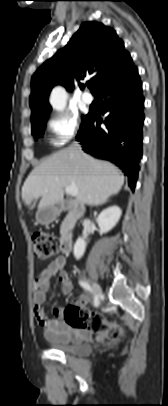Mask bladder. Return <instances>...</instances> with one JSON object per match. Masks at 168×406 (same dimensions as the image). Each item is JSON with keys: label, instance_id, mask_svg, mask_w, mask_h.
<instances>
[{"label": "bladder", "instance_id": "1", "mask_svg": "<svg viewBox=\"0 0 168 406\" xmlns=\"http://www.w3.org/2000/svg\"><path fill=\"white\" fill-rule=\"evenodd\" d=\"M49 342L54 349L73 356H87L92 352V346L87 342Z\"/></svg>", "mask_w": 168, "mask_h": 406}]
</instances>
